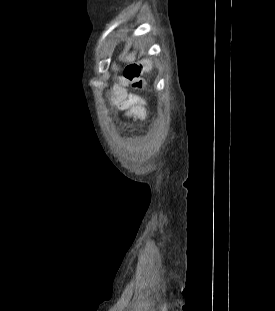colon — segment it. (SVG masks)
<instances>
[{
    "instance_id": "1",
    "label": "colon",
    "mask_w": 275,
    "mask_h": 311,
    "mask_svg": "<svg viewBox=\"0 0 275 311\" xmlns=\"http://www.w3.org/2000/svg\"><path fill=\"white\" fill-rule=\"evenodd\" d=\"M146 68L147 64L143 61L133 63L126 68V77L132 82L133 87L137 90L142 89L145 85L143 73Z\"/></svg>"
}]
</instances>
